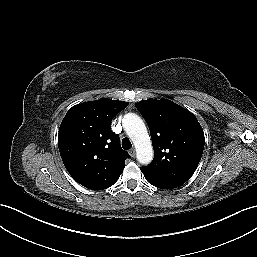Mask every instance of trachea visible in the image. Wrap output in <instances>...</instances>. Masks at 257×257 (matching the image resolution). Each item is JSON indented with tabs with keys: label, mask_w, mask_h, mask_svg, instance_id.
<instances>
[{
	"label": "trachea",
	"mask_w": 257,
	"mask_h": 257,
	"mask_svg": "<svg viewBox=\"0 0 257 257\" xmlns=\"http://www.w3.org/2000/svg\"><path fill=\"white\" fill-rule=\"evenodd\" d=\"M122 147L125 150H128V149H130L132 147V144H131V142H130V140L128 138H124L122 140Z\"/></svg>",
	"instance_id": "3493384b"
}]
</instances>
